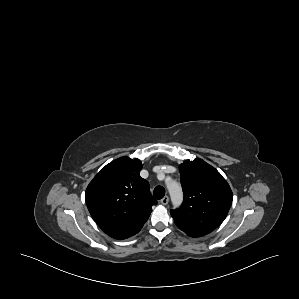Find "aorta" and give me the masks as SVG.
<instances>
[{
  "label": "aorta",
  "mask_w": 299,
  "mask_h": 299,
  "mask_svg": "<svg viewBox=\"0 0 299 299\" xmlns=\"http://www.w3.org/2000/svg\"><path fill=\"white\" fill-rule=\"evenodd\" d=\"M167 189L169 191L171 201L174 207L181 205L183 201V192L181 186L176 181L167 183Z\"/></svg>",
  "instance_id": "1"
}]
</instances>
